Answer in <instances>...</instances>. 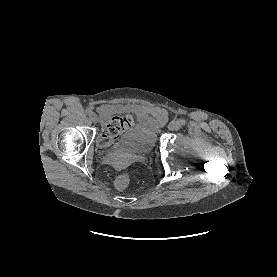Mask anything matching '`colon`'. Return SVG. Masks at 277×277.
Masks as SVG:
<instances>
[{
  "label": "colon",
  "mask_w": 277,
  "mask_h": 277,
  "mask_svg": "<svg viewBox=\"0 0 277 277\" xmlns=\"http://www.w3.org/2000/svg\"><path fill=\"white\" fill-rule=\"evenodd\" d=\"M132 125V118L130 116H114L102 128L99 135L98 142L102 146L109 145L122 132L129 129ZM131 178L128 174L120 175L115 180V187L118 190H125L130 185Z\"/></svg>",
  "instance_id": "obj_1"
}]
</instances>
